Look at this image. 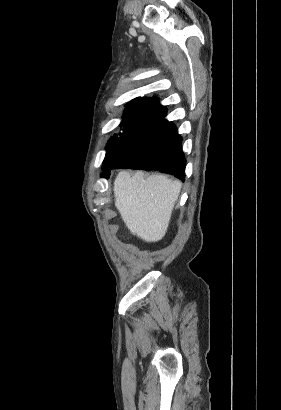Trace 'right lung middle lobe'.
<instances>
[{"mask_svg": "<svg viewBox=\"0 0 281 410\" xmlns=\"http://www.w3.org/2000/svg\"><path fill=\"white\" fill-rule=\"evenodd\" d=\"M167 111L147 106H126L120 126L126 131L109 140L102 173L110 171L120 159L155 126L164 120Z\"/></svg>", "mask_w": 281, "mask_h": 410, "instance_id": "obj_1", "label": "right lung middle lobe"}]
</instances>
